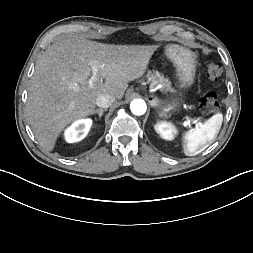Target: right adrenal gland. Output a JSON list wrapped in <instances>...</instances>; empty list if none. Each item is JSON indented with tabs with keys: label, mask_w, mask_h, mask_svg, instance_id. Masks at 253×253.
Wrapping results in <instances>:
<instances>
[{
	"label": "right adrenal gland",
	"mask_w": 253,
	"mask_h": 253,
	"mask_svg": "<svg viewBox=\"0 0 253 253\" xmlns=\"http://www.w3.org/2000/svg\"><path fill=\"white\" fill-rule=\"evenodd\" d=\"M107 111V109H97L93 112V114H98L99 115V119H101L103 112Z\"/></svg>",
	"instance_id": "1"
}]
</instances>
